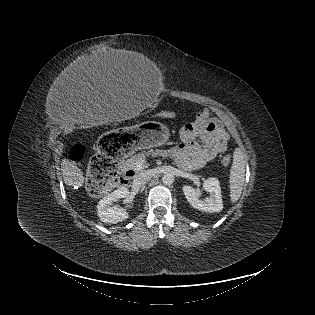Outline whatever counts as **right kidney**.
I'll return each instance as SVG.
<instances>
[{"mask_svg":"<svg viewBox=\"0 0 315 315\" xmlns=\"http://www.w3.org/2000/svg\"><path fill=\"white\" fill-rule=\"evenodd\" d=\"M129 195L127 188H119L107 196L103 197L98 205V216L104 223H118L128 218V213L125 209L119 207H112V203L121 198H126Z\"/></svg>","mask_w":315,"mask_h":315,"instance_id":"ca27d5eb","label":"right kidney"}]
</instances>
